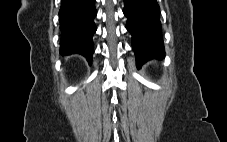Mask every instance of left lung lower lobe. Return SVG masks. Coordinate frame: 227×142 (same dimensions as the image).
<instances>
[{
	"label": "left lung lower lobe",
	"mask_w": 227,
	"mask_h": 142,
	"mask_svg": "<svg viewBox=\"0 0 227 142\" xmlns=\"http://www.w3.org/2000/svg\"><path fill=\"white\" fill-rule=\"evenodd\" d=\"M126 28L132 35L137 66L164 56L160 8L156 0H124Z\"/></svg>",
	"instance_id": "0a47b994"
}]
</instances>
